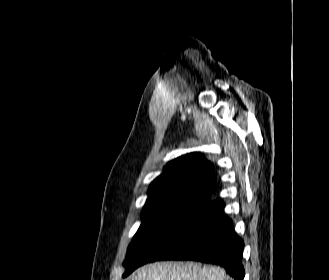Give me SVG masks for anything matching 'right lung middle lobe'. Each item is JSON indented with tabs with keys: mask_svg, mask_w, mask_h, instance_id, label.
<instances>
[{
	"mask_svg": "<svg viewBox=\"0 0 329 280\" xmlns=\"http://www.w3.org/2000/svg\"><path fill=\"white\" fill-rule=\"evenodd\" d=\"M207 203L205 200L180 197L148 206L142 213L143 221L128 247L124 276L150 261Z\"/></svg>",
	"mask_w": 329,
	"mask_h": 280,
	"instance_id": "right-lung-middle-lobe-1",
	"label": "right lung middle lobe"
}]
</instances>
